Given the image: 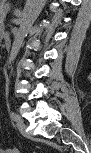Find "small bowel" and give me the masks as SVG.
I'll list each match as a JSON object with an SVG mask.
<instances>
[{
    "mask_svg": "<svg viewBox=\"0 0 91 153\" xmlns=\"http://www.w3.org/2000/svg\"><path fill=\"white\" fill-rule=\"evenodd\" d=\"M3 153H18V149L17 148H8L3 150Z\"/></svg>",
    "mask_w": 91,
    "mask_h": 153,
    "instance_id": "c3829d8e",
    "label": "small bowel"
}]
</instances>
